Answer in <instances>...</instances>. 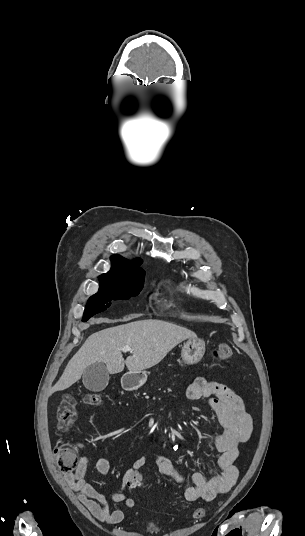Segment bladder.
Segmentation results:
<instances>
[{"instance_id":"1","label":"bladder","mask_w":305,"mask_h":536,"mask_svg":"<svg viewBox=\"0 0 305 536\" xmlns=\"http://www.w3.org/2000/svg\"><path fill=\"white\" fill-rule=\"evenodd\" d=\"M143 531L147 534H154L158 531L159 525L157 522L153 520H147L145 524L143 525Z\"/></svg>"}]
</instances>
